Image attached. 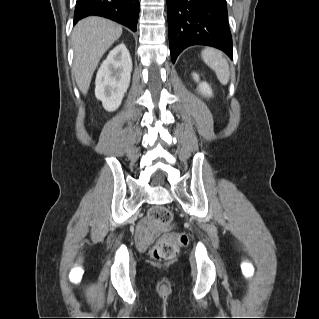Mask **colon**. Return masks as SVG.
<instances>
[{
  "instance_id": "colon-1",
  "label": "colon",
  "mask_w": 319,
  "mask_h": 319,
  "mask_svg": "<svg viewBox=\"0 0 319 319\" xmlns=\"http://www.w3.org/2000/svg\"><path fill=\"white\" fill-rule=\"evenodd\" d=\"M171 220L170 210L163 205L155 206L150 211L149 222L152 224L168 225ZM187 241V237L182 233L164 234L151 250V257L157 263L172 260L178 254L180 248L187 244Z\"/></svg>"
}]
</instances>
